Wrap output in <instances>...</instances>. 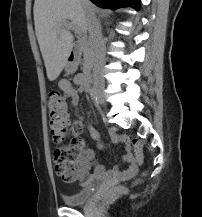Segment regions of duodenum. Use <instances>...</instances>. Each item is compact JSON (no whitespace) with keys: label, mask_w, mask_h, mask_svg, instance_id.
<instances>
[{"label":"duodenum","mask_w":202,"mask_h":217,"mask_svg":"<svg viewBox=\"0 0 202 217\" xmlns=\"http://www.w3.org/2000/svg\"><path fill=\"white\" fill-rule=\"evenodd\" d=\"M80 51L77 46H72L68 53V67L70 70L74 69L77 66L78 60L80 59ZM82 85L85 90L90 88V79L85 76L82 77Z\"/></svg>","instance_id":"obj_1"}]
</instances>
